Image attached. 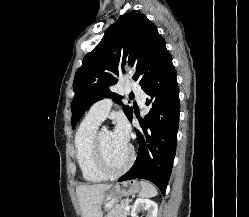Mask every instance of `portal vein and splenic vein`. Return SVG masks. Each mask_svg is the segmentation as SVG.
<instances>
[{"label":"portal vein and splenic vein","instance_id":"18ae733b","mask_svg":"<svg viewBox=\"0 0 249 217\" xmlns=\"http://www.w3.org/2000/svg\"><path fill=\"white\" fill-rule=\"evenodd\" d=\"M125 210H126V211H129V210H130V206H129L128 204L125 206Z\"/></svg>","mask_w":249,"mask_h":217}]
</instances>
